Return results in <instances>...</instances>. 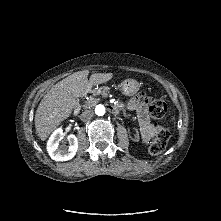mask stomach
Masks as SVG:
<instances>
[{
    "instance_id": "0dacf381",
    "label": "stomach",
    "mask_w": 221,
    "mask_h": 221,
    "mask_svg": "<svg viewBox=\"0 0 221 221\" xmlns=\"http://www.w3.org/2000/svg\"><path fill=\"white\" fill-rule=\"evenodd\" d=\"M140 88V83L135 79H127L122 83V92L126 96H134Z\"/></svg>"
}]
</instances>
